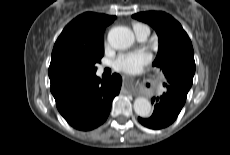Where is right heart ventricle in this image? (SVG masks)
<instances>
[{"label":"right heart ventricle","mask_w":230,"mask_h":155,"mask_svg":"<svg viewBox=\"0 0 230 155\" xmlns=\"http://www.w3.org/2000/svg\"><path fill=\"white\" fill-rule=\"evenodd\" d=\"M143 28H148L146 25L141 24V23H134L133 24V30L134 32H138L139 30L143 29Z\"/></svg>","instance_id":"1"}]
</instances>
